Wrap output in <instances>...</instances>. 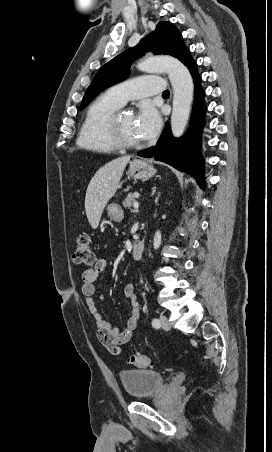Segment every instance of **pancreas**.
<instances>
[{
  "instance_id": "obj_1",
  "label": "pancreas",
  "mask_w": 272,
  "mask_h": 452,
  "mask_svg": "<svg viewBox=\"0 0 272 452\" xmlns=\"http://www.w3.org/2000/svg\"><path fill=\"white\" fill-rule=\"evenodd\" d=\"M134 202H136L135 193H129L128 196L124 199L122 204L125 208L131 209Z\"/></svg>"
}]
</instances>
